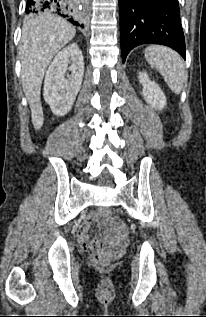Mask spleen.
<instances>
[{"mask_svg":"<svg viewBox=\"0 0 206 317\" xmlns=\"http://www.w3.org/2000/svg\"><path fill=\"white\" fill-rule=\"evenodd\" d=\"M147 62L161 73L170 89L179 94L185 80L182 58L172 49L164 46H150L145 50Z\"/></svg>","mask_w":206,"mask_h":317,"instance_id":"spleen-1","label":"spleen"}]
</instances>
